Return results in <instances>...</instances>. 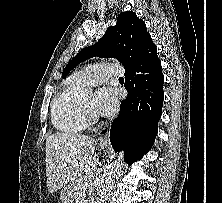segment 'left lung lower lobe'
<instances>
[{"instance_id": "0a47b994", "label": "left lung lower lobe", "mask_w": 222, "mask_h": 203, "mask_svg": "<svg viewBox=\"0 0 222 203\" xmlns=\"http://www.w3.org/2000/svg\"><path fill=\"white\" fill-rule=\"evenodd\" d=\"M163 84L161 61L149 36L135 62L125 69L128 96L110 129L112 147L116 152L124 150V160L129 164L139 160L154 143L162 113Z\"/></svg>"}]
</instances>
